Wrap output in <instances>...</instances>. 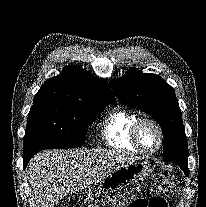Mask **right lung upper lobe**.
Here are the masks:
<instances>
[{
	"label": "right lung upper lobe",
	"mask_w": 206,
	"mask_h": 207,
	"mask_svg": "<svg viewBox=\"0 0 206 207\" xmlns=\"http://www.w3.org/2000/svg\"><path fill=\"white\" fill-rule=\"evenodd\" d=\"M60 102L84 106L116 105L115 97L106 80L74 66L48 79L37 92L33 103Z\"/></svg>",
	"instance_id": "cb5924a9"
}]
</instances>
